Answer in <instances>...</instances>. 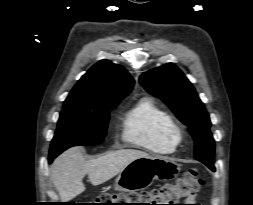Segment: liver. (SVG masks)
Here are the masks:
<instances>
[{
  "label": "liver",
  "instance_id": "obj_1",
  "mask_svg": "<svg viewBox=\"0 0 253 205\" xmlns=\"http://www.w3.org/2000/svg\"><path fill=\"white\" fill-rule=\"evenodd\" d=\"M149 156L140 150L121 149L87 161L82 148L72 147L52 163L51 179L62 202H68L85 191L82 180L86 174L97 186L119 174L133 160Z\"/></svg>",
  "mask_w": 253,
  "mask_h": 205
}]
</instances>
